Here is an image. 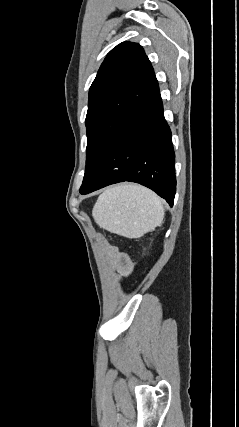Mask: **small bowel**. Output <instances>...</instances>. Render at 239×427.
I'll return each instance as SVG.
<instances>
[{"label": "small bowel", "instance_id": "small-bowel-1", "mask_svg": "<svg viewBox=\"0 0 239 427\" xmlns=\"http://www.w3.org/2000/svg\"><path fill=\"white\" fill-rule=\"evenodd\" d=\"M108 252L112 258L114 265L121 277L128 276L134 267V263L128 254L121 252L115 246H109Z\"/></svg>", "mask_w": 239, "mask_h": 427}]
</instances>
